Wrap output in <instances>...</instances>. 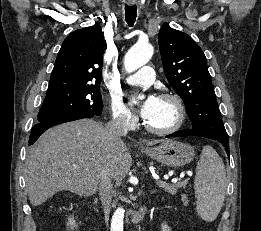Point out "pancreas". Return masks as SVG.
Listing matches in <instances>:
<instances>
[{"label":"pancreas","mask_w":261,"mask_h":231,"mask_svg":"<svg viewBox=\"0 0 261 231\" xmlns=\"http://www.w3.org/2000/svg\"><path fill=\"white\" fill-rule=\"evenodd\" d=\"M186 185L185 182L181 183V184H178V185H168V184H165V185H159L165 192H167L168 194H171V195H175L176 192H177V189L180 188V187H184Z\"/></svg>","instance_id":"cf45deb5"}]
</instances>
